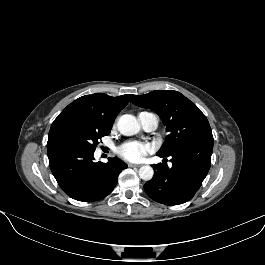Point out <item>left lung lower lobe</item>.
Returning a JSON list of instances; mask_svg holds the SVG:
<instances>
[{
	"label": "left lung lower lobe",
	"instance_id": "left-lung-lower-lobe-1",
	"mask_svg": "<svg viewBox=\"0 0 265 265\" xmlns=\"http://www.w3.org/2000/svg\"><path fill=\"white\" fill-rule=\"evenodd\" d=\"M213 135L193 138L174 152L158 156L163 164L153 165L154 176L145 183L144 189L153 200L165 205L183 204L193 198L201 187L211 165ZM169 157L172 166H167Z\"/></svg>",
	"mask_w": 265,
	"mask_h": 265
}]
</instances>
